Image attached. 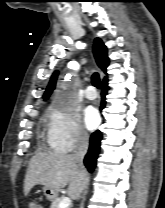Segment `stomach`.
<instances>
[{
    "label": "stomach",
    "mask_w": 165,
    "mask_h": 208,
    "mask_svg": "<svg viewBox=\"0 0 165 208\" xmlns=\"http://www.w3.org/2000/svg\"><path fill=\"white\" fill-rule=\"evenodd\" d=\"M43 192L46 198L50 201L54 200L58 195V192L48 187H44Z\"/></svg>",
    "instance_id": "1"
}]
</instances>
